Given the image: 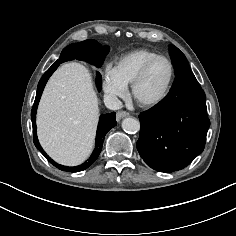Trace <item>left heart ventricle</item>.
Here are the masks:
<instances>
[{"instance_id": "1", "label": "left heart ventricle", "mask_w": 236, "mask_h": 236, "mask_svg": "<svg viewBox=\"0 0 236 236\" xmlns=\"http://www.w3.org/2000/svg\"><path fill=\"white\" fill-rule=\"evenodd\" d=\"M170 78V66L166 60L155 62L138 87V96L144 100L159 97L165 90Z\"/></svg>"}]
</instances>
